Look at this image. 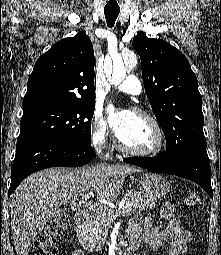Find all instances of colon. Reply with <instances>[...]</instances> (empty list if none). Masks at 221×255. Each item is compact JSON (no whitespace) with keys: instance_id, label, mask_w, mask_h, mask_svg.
Here are the masks:
<instances>
[{"instance_id":"5ec220e1","label":"colon","mask_w":221,"mask_h":255,"mask_svg":"<svg viewBox=\"0 0 221 255\" xmlns=\"http://www.w3.org/2000/svg\"><path fill=\"white\" fill-rule=\"evenodd\" d=\"M188 207H196L201 204L197 194H190L185 199ZM66 225L63 219H54L34 242L28 255H57L56 245L61 240Z\"/></svg>"}]
</instances>
